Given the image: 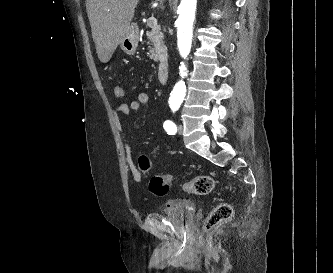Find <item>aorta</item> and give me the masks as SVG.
<instances>
[{"mask_svg":"<svg viewBox=\"0 0 333 273\" xmlns=\"http://www.w3.org/2000/svg\"><path fill=\"white\" fill-rule=\"evenodd\" d=\"M197 0H181L178 6L179 17L177 24V46L180 55L186 58L191 50L193 26L195 21ZM180 75L183 78L186 75L187 68L181 63ZM186 86L183 81L178 82L170 96V102L173 105H180L185 97Z\"/></svg>","mask_w":333,"mask_h":273,"instance_id":"aorta-1","label":"aorta"}]
</instances>
